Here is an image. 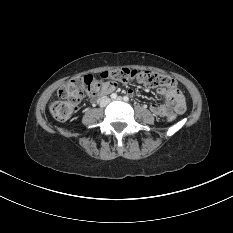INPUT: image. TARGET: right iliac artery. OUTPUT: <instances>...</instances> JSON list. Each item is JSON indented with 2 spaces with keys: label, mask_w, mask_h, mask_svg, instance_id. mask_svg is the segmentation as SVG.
<instances>
[{
  "label": "right iliac artery",
  "mask_w": 233,
  "mask_h": 233,
  "mask_svg": "<svg viewBox=\"0 0 233 233\" xmlns=\"http://www.w3.org/2000/svg\"><path fill=\"white\" fill-rule=\"evenodd\" d=\"M111 98L112 99H116L117 98V94L116 93L111 94Z\"/></svg>",
  "instance_id": "1"
}]
</instances>
